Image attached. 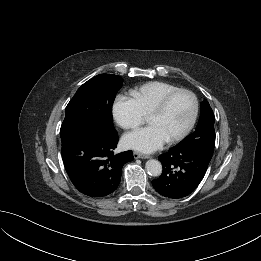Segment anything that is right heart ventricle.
<instances>
[{"label":"right heart ventricle","instance_id":"e07e8e85","mask_svg":"<svg viewBox=\"0 0 261 261\" xmlns=\"http://www.w3.org/2000/svg\"><path fill=\"white\" fill-rule=\"evenodd\" d=\"M180 88L171 83L154 81L140 86L132 91L142 112L149 114L168 94Z\"/></svg>","mask_w":261,"mask_h":261}]
</instances>
